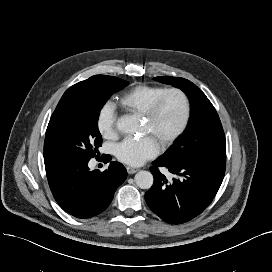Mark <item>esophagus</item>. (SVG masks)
<instances>
[{
  "mask_svg": "<svg viewBox=\"0 0 272 272\" xmlns=\"http://www.w3.org/2000/svg\"><path fill=\"white\" fill-rule=\"evenodd\" d=\"M126 169H127L128 174H134L138 171L137 168H133V167H126Z\"/></svg>",
  "mask_w": 272,
  "mask_h": 272,
  "instance_id": "34e87169",
  "label": "esophagus"
}]
</instances>
